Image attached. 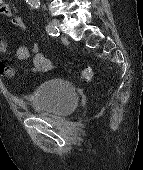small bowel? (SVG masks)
Here are the masks:
<instances>
[{"instance_id":"1","label":"small bowel","mask_w":143,"mask_h":170,"mask_svg":"<svg viewBox=\"0 0 143 170\" xmlns=\"http://www.w3.org/2000/svg\"><path fill=\"white\" fill-rule=\"evenodd\" d=\"M0 15L6 17H12V24L20 29L25 30L26 24L19 16H13L12 8L9 4H3V0H0ZM7 50V42L4 39H0V75L11 77L14 71L11 67L3 63L1 56ZM17 57L20 60H31V71L34 73L47 72L52 69V63L42 53L39 52L38 46L34 45L32 49L21 46L17 50Z\"/></svg>"}]
</instances>
